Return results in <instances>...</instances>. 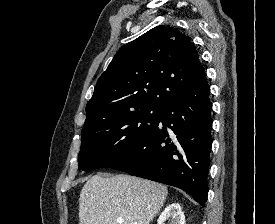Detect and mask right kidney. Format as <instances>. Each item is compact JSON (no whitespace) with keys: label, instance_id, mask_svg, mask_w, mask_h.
Instances as JSON below:
<instances>
[{"label":"right kidney","instance_id":"obj_1","mask_svg":"<svg viewBox=\"0 0 275 224\" xmlns=\"http://www.w3.org/2000/svg\"><path fill=\"white\" fill-rule=\"evenodd\" d=\"M167 220L169 224H185V216L178 203L168 205L160 214L157 224H165Z\"/></svg>","mask_w":275,"mask_h":224}]
</instances>
